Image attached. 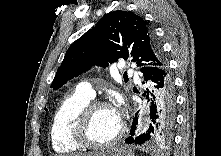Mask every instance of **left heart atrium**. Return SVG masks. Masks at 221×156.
<instances>
[{
	"label": "left heart atrium",
	"instance_id": "left-heart-atrium-1",
	"mask_svg": "<svg viewBox=\"0 0 221 156\" xmlns=\"http://www.w3.org/2000/svg\"><path fill=\"white\" fill-rule=\"evenodd\" d=\"M112 112L115 116V118L118 121H121V116H122V112H121V108L119 106L112 108Z\"/></svg>",
	"mask_w": 221,
	"mask_h": 156
}]
</instances>
